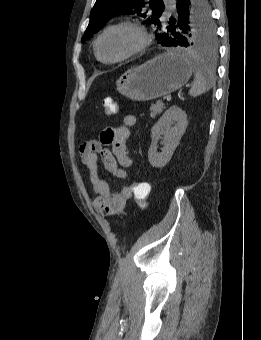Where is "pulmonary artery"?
Wrapping results in <instances>:
<instances>
[{"instance_id": "pulmonary-artery-1", "label": "pulmonary artery", "mask_w": 261, "mask_h": 340, "mask_svg": "<svg viewBox=\"0 0 261 340\" xmlns=\"http://www.w3.org/2000/svg\"><path fill=\"white\" fill-rule=\"evenodd\" d=\"M167 14H170L173 10V0H166Z\"/></svg>"}]
</instances>
